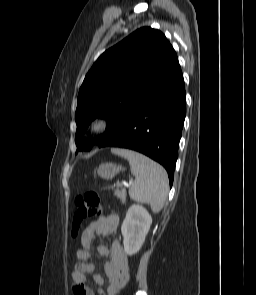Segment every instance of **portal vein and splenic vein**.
Masks as SVG:
<instances>
[{
  "mask_svg": "<svg viewBox=\"0 0 256 295\" xmlns=\"http://www.w3.org/2000/svg\"><path fill=\"white\" fill-rule=\"evenodd\" d=\"M131 184V183H130ZM129 184V185H130ZM123 184L122 183H120V182H117V186H119V187H121ZM128 184H126L125 186H129Z\"/></svg>",
  "mask_w": 256,
  "mask_h": 295,
  "instance_id": "18ae733b",
  "label": "portal vein and splenic vein"
}]
</instances>
